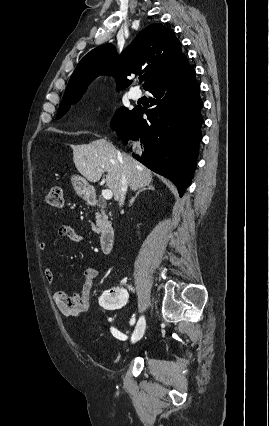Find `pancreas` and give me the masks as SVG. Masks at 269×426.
I'll use <instances>...</instances> for the list:
<instances>
[{"label": "pancreas", "instance_id": "cf45deb5", "mask_svg": "<svg viewBox=\"0 0 269 426\" xmlns=\"http://www.w3.org/2000/svg\"><path fill=\"white\" fill-rule=\"evenodd\" d=\"M104 207H105V205H102V208H104ZM101 214H102V221H103L104 223H107V222H108V216L105 214V212H104L103 210H101ZM91 225H92V230H93L95 233H98V232H99V230L96 228L95 224H94V223H92Z\"/></svg>", "mask_w": 269, "mask_h": 426}]
</instances>
